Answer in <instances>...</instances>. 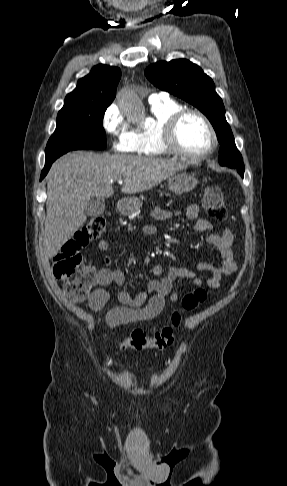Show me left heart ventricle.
Segmentation results:
<instances>
[{
    "mask_svg": "<svg viewBox=\"0 0 287 486\" xmlns=\"http://www.w3.org/2000/svg\"><path fill=\"white\" fill-rule=\"evenodd\" d=\"M176 136L179 146L189 152L204 151L211 143L207 127L196 115H187L182 119Z\"/></svg>",
    "mask_w": 287,
    "mask_h": 486,
    "instance_id": "left-heart-ventricle-1",
    "label": "left heart ventricle"
}]
</instances>
